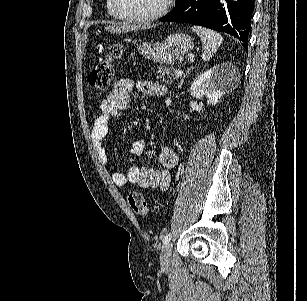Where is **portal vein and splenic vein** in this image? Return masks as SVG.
I'll list each match as a JSON object with an SVG mask.
<instances>
[{
    "instance_id": "obj_1",
    "label": "portal vein and splenic vein",
    "mask_w": 307,
    "mask_h": 301,
    "mask_svg": "<svg viewBox=\"0 0 307 301\" xmlns=\"http://www.w3.org/2000/svg\"><path fill=\"white\" fill-rule=\"evenodd\" d=\"M183 70H177V76H182Z\"/></svg>"
}]
</instances>
